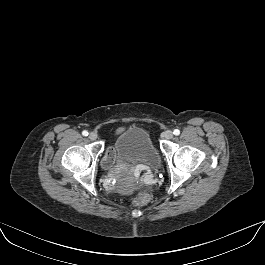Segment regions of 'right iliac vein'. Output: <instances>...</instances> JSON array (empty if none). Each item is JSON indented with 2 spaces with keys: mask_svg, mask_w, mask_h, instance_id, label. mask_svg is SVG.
I'll use <instances>...</instances> for the list:
<instances>
[{
  "mask_svg": "<svg viewBox=\"0 0 265 265\" xmlns=\"http://www.w3.org/2000/svg\"><path fill=\"white\" fill-rule=\"evenodd\" d=\"M88 137L90 140H96L97 134L95 132H91L89 133Z\"/></svg>",
  "mask_w": 265,
  "mask_h": 265,
  "instance_id": "right-iliac-vein-1",
  "label": "right iliac vein"
}]
</instances>
